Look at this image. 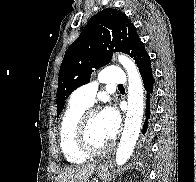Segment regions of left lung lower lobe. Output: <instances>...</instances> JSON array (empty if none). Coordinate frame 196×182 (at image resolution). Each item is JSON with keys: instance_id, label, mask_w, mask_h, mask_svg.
<instances>
[{"instance_id": "0a47b994", "label": "left lung lower lobe", "mask_w": 196, "mask_h": 182, "mask_svg": "<svg viewBox=\"0 0 196 182\" xmlns=\"http://www.w3.org/2000/svg\"><path fill=\"white\" fill-rule=\"evenodd\" d=\"M138 68L143 80L146 91V106H145V122L143 125V134H146V139H149L152 130V122L155 116V96H154V78L152 75L151 61L149 55L144 56Z\"/></svg>"}]
</instances>
